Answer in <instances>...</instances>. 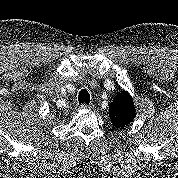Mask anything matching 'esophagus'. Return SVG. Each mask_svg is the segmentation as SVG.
Here are the masks:
<instances>
[{
    "instance_id": "1",
    "label": "esophagus",
    "mask_w": 178,
    "mask_h": 178,
    "mask_svg": "<svg viewBox=\"0 0 178 178\" xmlns=\"http://www.w3.org/2000/svg\"><path fill=\"white\" fill-rule=\"evenodd\" d=\"M92 107H93V104L88 105V104L83 103L80 105L81 109H91Z\"/></svg>"
}]
</instances>
